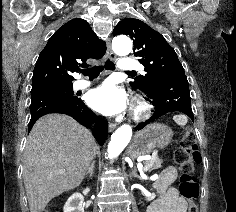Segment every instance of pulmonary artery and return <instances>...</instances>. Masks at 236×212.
Returning a JSON list of instances; mask_svg holds the SVG:
<instances>
[{
  "label": "pulmonary artery",
  "mask_w": 236,
  "mask_h": 212,
  "mask_svg": "<svg viewBox=\"0 0 236 212\" xmlns=\"http://www.w3.org/2000/svg\"><path fill=\"white\" fill-rule=\"evenodd\" d=\"M140 64L133 59H121L118 63V69L121 71H129L134 69H140ZM91 82L87 80H79L74 84V88L77 90L85 89L90 86Z\"/></svg>",
  "instance_id": "e3ab8cb5"
}]
</instances>
